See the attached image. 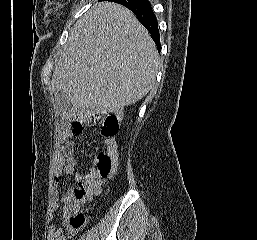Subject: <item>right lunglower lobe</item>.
<instances>
[{"label":"right lung lower lobe","instance_id":"right-lung-lower-lobe-1","mask_svg":"<svg viewBox=\"0 0 257 240\" xmlns=\"http://www.w3.org/2000/svg\"><path fill=\"white\" fill-rule=\"evenodd\" d=\"M130 9L139 19L141 24L151 33L152 39L160 50V38L156 16L148 0H127L122 4Z\"/></svg>","mask_w":257,"mask_h":240}]
</instances>
